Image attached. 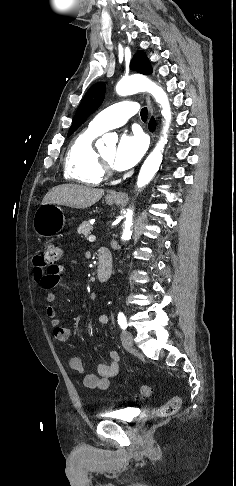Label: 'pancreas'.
Instances as JSON below:
<instances>
[{"label": "pancreas", "instance_id": "1", "mask_svg": "<svg viewBox=\"0 0 236 486\" xmlns=\"http://www.w3.org/2000/svg\"><path fill=\"white\" fill-rule=\"evenodd\" d=\"M93 230V227L88 222H83L77 229L78 234L82 237H87L90 232Z\"/></svg>", "mask_w": 236, "mask_h": 486}]
</instances>
